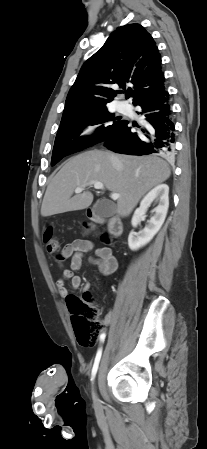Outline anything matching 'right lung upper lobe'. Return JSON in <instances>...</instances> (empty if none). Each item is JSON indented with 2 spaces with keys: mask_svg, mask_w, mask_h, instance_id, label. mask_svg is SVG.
Returning <instances> with one entry per match:
<instances>
[{
  "mask_svg": "<svg viewBox=\"0 0 207 449\" xmlns=\"http://www.w3.org/2000/svg\"><path fill=\"white\" fill-rule=\"evenodd\" d=\"M161 58L152 36L140 24L114 31L105 44L82 66L65 103L62 119L101 109L127 89L133 102L163 90Z\"/></svg>",
  "mask_w": 207,
  "mask_h": 449,
  "instance_id": "obj_1",
  "label": "right lung upper lobe"
}]
</instances>
